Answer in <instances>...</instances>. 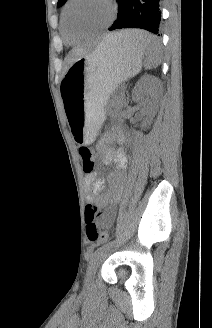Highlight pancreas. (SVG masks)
I'll list each match as a JSON object with an SVG mask.
<instances>
[{
	"mask_svg": "<svg viewBox=\"0 0 212 328\" xmlns=\"http://www.w3.org/2000/svg\"><path fill=\"white\" fill-rule=\"evenodd\" d=\"M124 100L123 95L114 96L109 104L110 108H113L115 112H117L123 106Z\"/></svg>",
	"mask_w": 212,
	"mask_h": 328,
	"instance_id": "pancreas-1",
	"label": "pancreas"
}]
</instances>
